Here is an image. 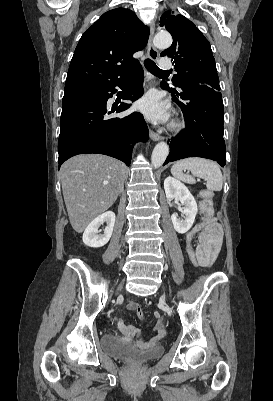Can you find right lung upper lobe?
<instances>
[{
	"label": "right lung upper lobe",
	"mask_w": 273,
	"mask_h": 401,
	"mask_svg": "<svg viewBox=\"0 0 273 401\" xmlns=\"http://www.w3.org/2000/svg\"><path fill=\"white\" fill-rule=\"evenodd\" d=\"M149 29L126 8L104 13L80 38L68 70L64 97L81 96L118 81L139 64L132 55Z\"/></svg>",
	"instance_id": "obj_1"
}]
</instances>
